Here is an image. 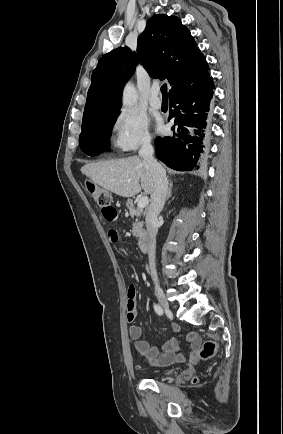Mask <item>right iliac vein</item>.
Here are the masks:
<instances>
[{
	"label": "right iliac vein",
	"instance_id": "obj_1",
	"mask_svg": "<svg viewBox=\"0 0 283 434\" xmlns=\"http://www.w3.org/2000/svg\"><path fill=\"white\" fill-rule=\"evenodd\" d=\"M155 293L162 308L166 311H169L170 310L169 302L167 301L164 292L162 291L161 287L158 284L155 285Z\"/></svg>",
	"mask_w": 283,
	"mask_h": 434
}]
</instances>
